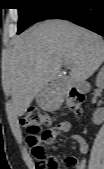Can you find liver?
I'll return each mask as SVG.
<instances>
[{"instance_id":"6515ba94","label":"liver","mask_w":104,"mask_h":169,"mask_svg":"<svg viewBox=\"0 0 104 169\" xmlns=\"http://www.w3.org/2000/svg\"><path fill=\"white\" fill-rule=\"evenodd\" d=\"M103 61L100 35L65 20H47L16 39L2 82L11 94L16 115L22 116L63 65L71 68L73 82H83Z\"/></svg>"}]
</instances>
